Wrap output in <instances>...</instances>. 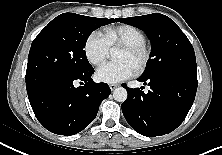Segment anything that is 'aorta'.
<instances>
[{"label": "aorta", "mask_w": 222, "mask_h": 155, "mask_svg": "<svg viewBox=\"0 0 222 155\" xmlns=\"http://www.w3.org/2000/svg\"><path fill=\"white\" fill-rule=\"evenodd\" d=\"M127 91L125 88L123 87H118L113 91V98L117 101V102H124L127 99Z\"/></svg>", "instance_id": "obj_1"}]
</instances>
